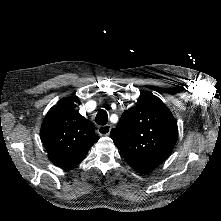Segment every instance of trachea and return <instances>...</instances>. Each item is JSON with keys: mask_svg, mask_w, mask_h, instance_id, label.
<instances>
[{"mask_svg": "<svg viewBox=\"0 0 221 221\" xmlns=\"http://www.w3.org/2000/svg\"><path fill=\"white\" fill-rule=\"evenodd\" d=\"M95 122L98 125H105L108 122V114L105 110H99L96 115Z\"/></svg>", "mask_w": 221, "mask_h": 221, "instance_id": "3493384b", "label": "trachea"}]
</instances>
